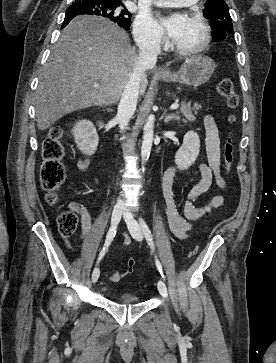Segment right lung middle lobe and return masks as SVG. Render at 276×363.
I'll return each instance as SVG.
<instances>
[{
    "instance_id": "1",
    "label": "right lung middle lobe",
    "mask_w": 276,
    "mask_h": 363,
    "mask_svg": "<svg viewBox=\"0 0 276 363\" xmlns=\"http://www.w3.org/2000/svg\"><path fill=\"white\" fill-rule=\"evenodd\" d=\"M97 15L116 22L119 26L128 29L131 23L130 13L120 2L104 0H75L67 9L66 16L76 14Z\"/></svg>"
}]
</instances>
